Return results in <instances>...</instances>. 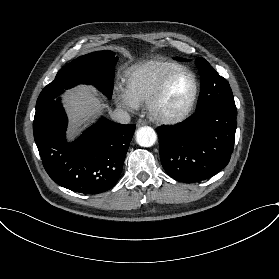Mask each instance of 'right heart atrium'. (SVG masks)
Segmentation results:
<instances>
[{"label": "right heart atrium", "mask_w": 279, "mask_h": 279, "mask_svg": "<svg viewBox=\"0 0 279 279\" xmlns=\"http://www.w3.org/2000/svg\"><path fill=\"white\" fill-rule=\"evenodd\" d=\"M113 98L116 103L131 111L138 110L143 105V100L131 93L127 87L123 85L114 87Z\"/></svg>", "instance_id": "d8ad5b80"}]
</instances>
